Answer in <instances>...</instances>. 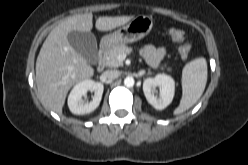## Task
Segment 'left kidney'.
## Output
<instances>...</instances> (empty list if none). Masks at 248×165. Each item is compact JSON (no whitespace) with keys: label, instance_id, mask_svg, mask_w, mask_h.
Returning a JSON list of instances; mask_svg holds the SVG:
<instances>
[{"label":"left kidney","instance_id":"5707ae66","mask_svg":"<svg viewBox=\"0 0 248 165\" xmlns=\"http://www.w3.org/2000/svg\"><path fill=\"white\" fill-rule=\"evenodd\" d=\"M159 88V96L156 88ZM175 82L166 74H158L154 78H147L143 82V92L149 104L157 110H163L173 100Z\"/></svg>","mask_w":248,"mask_h":165}]
</instances>
